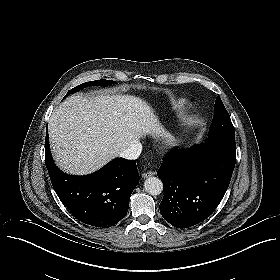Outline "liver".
I'll return each instance as SVG.
<instances>
[{
    "label": "liver",
    "mask_w": 280,
    "mask_h": 280,
    "mask_svg": "<svg viewBox=\"0 0 280 280\" xmlns=\"http://www.w3.org/2000/svg\"><path fill=\"white\" fill-rule=\"evenodd\" d=\"M147 134L167 135L151 107L129 95H74L49 120L54 160L76 175L97 171Z\"/></svg>",
    "instance_id": "6515ba94"
}]
</instances>
